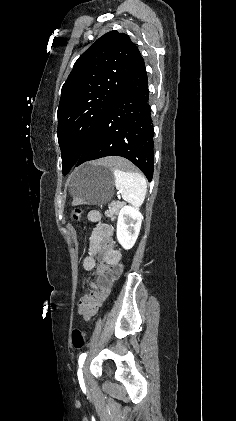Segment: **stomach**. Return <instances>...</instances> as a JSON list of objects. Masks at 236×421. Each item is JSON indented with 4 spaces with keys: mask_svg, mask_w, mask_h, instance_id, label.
Here are the masks:
<instances>
[{
    "mask_svg": "<svg viewBox=\"0 0 236 421\" xmlns=\"http://www.w3.org/2000/svg\"><path fill=\"white\" fill-rule=\"evenodd\" d=\"M114 186L113 168L86 162L75 168L71 192L78 204H106L114 194Z\"/></svg>",
    "mask_w": 236,
    "mask_h": 421,
    "instance_id": "0dacf381",
    "label": "stomach"
}]
</instances>
